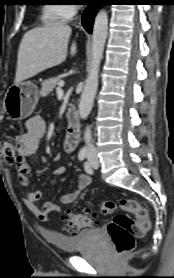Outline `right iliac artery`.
I'll return each mask as SVG.
<instances>
[{
    "label": "right iliac artery",
    "mask_w": 174,
    "mask_h": 278,
    "mask_svg": "<svg viewBox=\"0 0 174 278\" xmlns=\"http://www.w3.org/2000/svg\"><path fill=\"white\" fill-rule=\"evenodd\" d=\"M86 155H87V150L81 149L78 154L79 160H81V161L84 160L86 158Z\"/></svg>",
    "instance_id": "right-iliac-artery-1"
}]
</instances>
